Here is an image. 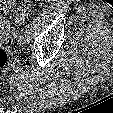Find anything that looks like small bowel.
Returning <instances> with one entry per match:
<instances>
[{"instance_id": "small-bowel-1", "label": "small bowel", "mask_w": 113, "mask_h": 113, "mask_svg": "<svg viewBox=\"0 0 113 113\" xmlns=\"http://www.w3.org/2000/svg\"><path fill=\"white\" fill-rule=\"evenodd\" d=\"M6 28H7V20L3 17H0V42L4 40V38H2L1 35L4 34Z\"/></svg>"}]
</instances>
